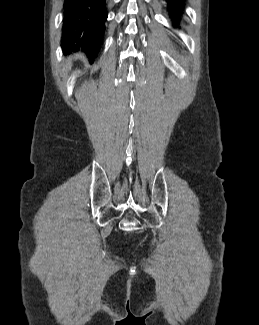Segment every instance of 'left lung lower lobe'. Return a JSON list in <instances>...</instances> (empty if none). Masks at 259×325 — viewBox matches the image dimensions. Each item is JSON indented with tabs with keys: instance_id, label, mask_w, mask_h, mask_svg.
Wrapping results in <instances>:
<instances>
[{
	"instance_id": "1",
	"label": "left lung lower lobe",
	"mask_w": 259,
	"mask_h": 325,
	"mask_svg": "<svg viewBox=\"0 0 259 325\" xmlns=\"http://www.w3.org/2000/svg\"><path fill=\"white\" fill-rule=\"evenodd\" d=\"M167 2V11L172 20L174 27L179 25L180 20L182 19L184 2L185 0H166Z\"/></svg>"
}]
</instances>
